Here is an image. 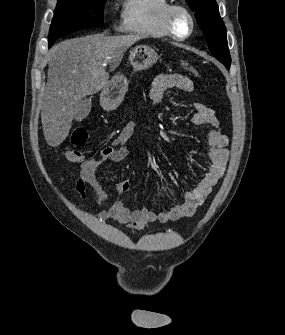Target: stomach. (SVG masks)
<instances>
[{
  "instance_id": "stomach-1",
  "label": "stomach",
  "mask_w": 285,
  "mask_h": 335,
  "mask_svg": "<svg viewBox=\"0 0 285 335\" xmlns=\"http://www.w3.org/2000/svg\"><path fill=\"white\" fill-rule=\"evenodd\" d=\"M129 60L135 70H148L153 64H156L158 54L149 46H136V48L130 50ZM127 88L128 82L125 76H114L106 84L101 94L102 102H105V106L111 108V110L116 108L121 104Z\"/></svg>"
}]
</instances>
